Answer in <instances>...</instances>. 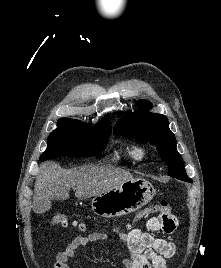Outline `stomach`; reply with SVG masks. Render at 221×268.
Returning a JSON list of instances; mask_svg holds the SVG:
<instances>
[{
	"mask_svg": "<svg viewBox=\"0 0 221 268\" xmlns=\"http://www.w3.org/2000/svg\"><path fill=\"white\" fill-rule=\"evenodd\" d=\"M155 189L144 179L129 180L115 189L97 195L91 206L93 212L105 218L132 213L151 201Z\"/></svg>",
	"mask_w": 221,
	"mask_h": 268,
	"instance_id": "1",
	"label": "stomach"
}]
</instances>
